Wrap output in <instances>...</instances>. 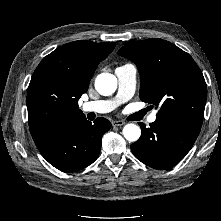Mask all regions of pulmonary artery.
<instances>
[{
    "mask_svg": "<svg viewBox=\"0 0 221 221\" xmlns=\"http://www.w3.org/2000/svg\"><path fill=\"white\" fill-rule=\"evenodd\" d=\"M136 67L132 64H126L118 67L115 74L118 79V92L114 99L97 100L86 102L82 105L85 113L94 112L98 114L108 113L114 110L119 104L128 101L134 94L136 88ZM147 121L153 123L156 121V113H152Z\"/></svg>",
    "mask_w": 221,
    "mask_h": 221,
    "instance_id": "pulmonary-artery-1",
    "label": "pulmonary artery"
}]
</instances>
